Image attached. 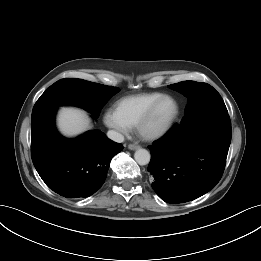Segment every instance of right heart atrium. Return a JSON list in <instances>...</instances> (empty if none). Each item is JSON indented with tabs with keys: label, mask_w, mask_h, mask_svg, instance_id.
Wrapping results in <instances>:
<instances>
[{
	"label": "right heart atrium",
	"mask_w": 261,
	"mask_h": 261,
	"mask_svg": "<svg viewBox=\"0 0 261 261\" xmlns=\"http://www.w3.org/2000/svg\"><path fill=\"white\" fill-rule=\"evenodd\" d=\"M103 121L107 127L112 129L118 136L129 134L131 127L117 114L114 109H107L103 115Z\"/></svg>",
	"instance_id": "right-heart-atrium-1"
}]
</instances>
